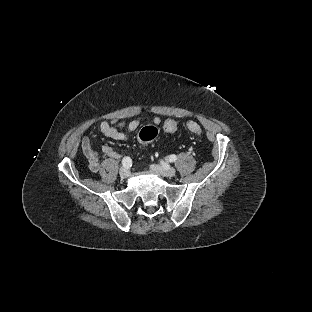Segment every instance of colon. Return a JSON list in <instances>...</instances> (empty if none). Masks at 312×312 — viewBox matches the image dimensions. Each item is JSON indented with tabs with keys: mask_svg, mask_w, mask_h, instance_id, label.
<instances>
[{
	"mask_svg": "<svg viewBox=\"0 0 312 312\" xmlns=\"http://www.w3.org/2000/svg\"><path fill=\"white\" fill-rule=\"evenodd\" d=\"M187 128L190 132L196 133L199 131L200 126L198 123L191 121L188 123ZM165 129L167 132L172 133L176 129V124L174 121L169 120L165 124ZM158 135L157 128L155 126H147L142 128L136 135V138L140 142H151L153 141Z\"/></svg>",
	"mask_w": 312,
	"mask_h": 312,
	"instance_id": "5ec220e1",
	"label": "colon"
}]
</instances>
